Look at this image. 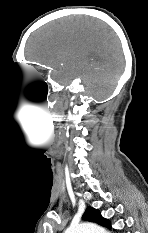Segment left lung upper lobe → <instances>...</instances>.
I'll return each mask as SVG.
<instances>
[{"instance_id": "obj_1", "label": "left lung upper lobe", "mask_w": 148, "mask_h": 233, "mask_svg": "<svg viewBox=\"0 0 148 233\" xmlns=\"http://www.w3.org/2000/svg\"><path fill=\"white\" fill-rule=\"evenodd\" d=\"M83 220L86 221H91V222H95L99 225H102L104 227L110 228L111 229V223L108 219H105L101 216L99 210L91 208V207H87L85 213L83 214L82 217Z\"/></svg>"}]
</instances>
